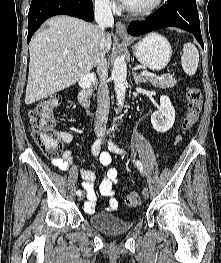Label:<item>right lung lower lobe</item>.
Here are the masks:
<instances>
[{"label":"right lung lower lobe","mask_w":221,"mask_h":263,"mask_svg":"<svg viewBox=\"0 0 221 263\" xmlns=\"http://www.w3.org/2000/svg\"><path fill=\"white\" fill-rule=\"evenodd\" d=\"M60 14L92 22V0H32L28 13V43L46 19Z\"/></svg>","instance_id":"1"}]
</instances>
